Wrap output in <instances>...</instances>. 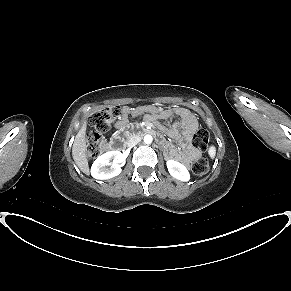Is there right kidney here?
I'll list each match as a JSON object with an SVG mask.
<instances>
[{
	"mask_svg": "<svg viewBox=\"0 0 291 291\" xmlns=\"http://www.w3.org/2000/svg\"><path fill=\"white\" fill-rule=\"evenodd\" d=\"M122 160L120 151H108L99 156L91 167V175L95 179L106 180L115 177L121 173V167L118 165ZM112 161V162H111ZM105 168V166H109Z\"/></svg>",
	"mask_w": 291,
	"mask_h": 291,
	"instance_id": "obj_1",
	"label": "right kidney"
}]
</instances>
